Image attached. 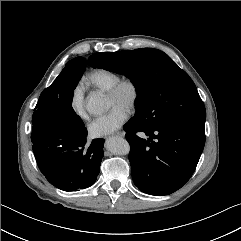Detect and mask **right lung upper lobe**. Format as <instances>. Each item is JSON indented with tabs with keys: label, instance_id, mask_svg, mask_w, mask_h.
Wrapping results in <instances>:
<instances>
[{
	"label": "right lung upper lobe",
	"instance_id": "cb5924a9",
	"mask_svg": "<svg viewBox=\"0 0 241 241\" xmlns=\"http://www.w3.org/2000/svg\"><path fill=\"white\" fill-rule=\"evenodd\" d=\"M80 66H85L86 67V61L84 58L82 57H76L72 60H70L65 68L63 69L64 71L68 70V69H71V68H77V67H80ZM62 70V71H63Z\"/></svg>",
	"mask_w": 241,
	"mask_h": 241
}]
</instances>
